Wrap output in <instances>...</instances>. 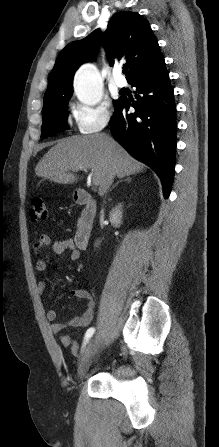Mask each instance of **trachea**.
Returning a JSON list of instances; mask_svg holds the SVG:
<instances>
[{"instance_id": "obj_1", "label": "trachea", "mask_w": 219, "mask_h": 447, "mask_svg": "<svg viewBox=\"0 0 219 447\" xmlns=\"http://www.w3.org/2000/svg\"><path fill=\"white\" fill-rule=\"evenodd\" d=\"M127 67H123V70H122V72L124 73V74H126L127 73Z\"/></svg>"}]
</instances>
